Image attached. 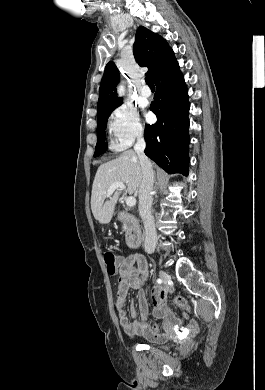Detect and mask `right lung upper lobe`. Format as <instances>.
<instances>
[{"mask_svg":"<svg viewBox=\"0 0 265 390\" xmlns=\"http://www.w3.org/2000/svg\"><path fill=\"white\" fill-rule=\"evenodd\" d=\"M133 51L137 63L148 67L147 74H150L154 81L176 63L174 52L166 40L143 26L136 32ZM118 82V69L113 62H109L100 84L97 118L122 104L116 95Z\"/></svg>","mask_w":265,"mask_h":390,"instance_id":"obj_1","label":"right lung upper lobe"}]
</instances>
